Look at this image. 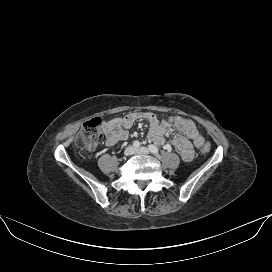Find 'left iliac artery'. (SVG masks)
I'll return each mask as SVG.
<instances>
[{
  "mask_svg": "<svg viewBox=\"0 0 272 272\" xmlns=\"http://www.w3.org/2000/svg\"><path fill=\"white\" fill-rule=\"evenodd\" d=\"M148 149L153 153V154H155V155H158L159 154V150H158V148L155 146V145H149L148 146Z\"/></svg>",
  "mask_w": 272,
  "mask_h": 272,
  "instance_id": "obj_1",
  "label": "left iliac artery"
}]
</instances>
